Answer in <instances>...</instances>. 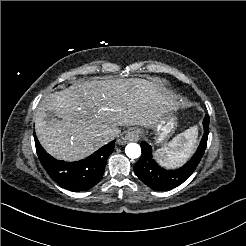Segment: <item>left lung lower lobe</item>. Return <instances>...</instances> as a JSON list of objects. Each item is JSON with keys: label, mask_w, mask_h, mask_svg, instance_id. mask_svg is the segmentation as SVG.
I'll return each mask as SVG.
<instances>
[{"label": "left lung lower lobe", "mask_w": 246, "mask_h": 246, "mask_svg": "<svg viewBox=\"0 0 246 246\" xmlns=\"http://www.w3.org/2000/svg\"><path fill=\"white\" fill-rule=\"evenodd\" d=\"M203 126L204 134L197 151L183 167L177 170H166L160 167L153 159L151 146L143 141L141 157L134 164V171L138 178L148 187L157 191L173 189L182 184L196 169L205 152L209 132L208 115L204 118Z\"/></svg>", "instance_id": "0a47b994"}]
</instances>
